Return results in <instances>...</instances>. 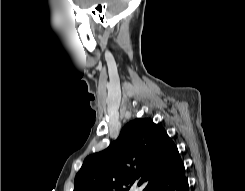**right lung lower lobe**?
Masks as SVG:
<instances>
[{
  "instance_id": "obj_1",
  "label": "right lung lower lobe",
  "mask_w": 245,
  "mask_h": 191,
  "mask_svg": "<svg viewBox=\"0 0 245 191\" xmlns=\"http://www.w3.org/2000/svg\"><path fill=\"white\" fill-rule=\"evenodd\" d=\"M151 191H189L184 166H181L172 175L160 180Z\"/></svg>"
}]
</instances>
